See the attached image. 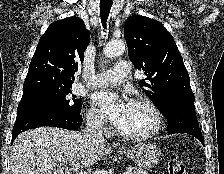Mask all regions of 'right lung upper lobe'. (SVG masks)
Masks as SVG:
<instances>
[{"label": "right lung upper lobe", "mask_w": 224, "mask_h": 174, "mask_svg": "<svg viewBox=\"0 0 224 174\" xmlns=\"http://www.w3.org/2000/svg\"><path fill=\"white\" fill-rule=\"evenodd\" d=\"M88 41L89 32L80 18L73 16L52 23L31 59L23 94L45 88L72 87Z\"/></svg>", "instance_id": "obj_1"}]
</instances>
